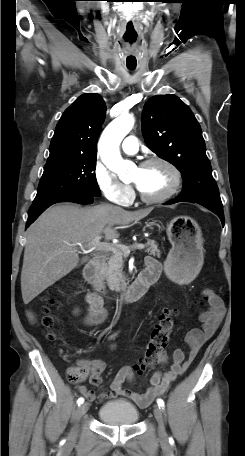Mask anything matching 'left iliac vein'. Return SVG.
<instances>
[{
    "label": "left iliac vein",
    "instance_id": "left-iliac-vein-1",
    "mask_svg": "<svg viewBox=\"0 0 245 456\" xmlns=\"http://www.w3.org/2000/svg\"><path fill=\"white\" fill-rule=\"evenodd\" d=\"M153 413H154L155 419L158 423V435H159L160 439L166 440L167 433H166L165 426H164L163 412L159 406L155 405L154 409H153Z\"/></svg>",
    "mask_w": 245,
    "mask_h": 456
}]
</instances>
